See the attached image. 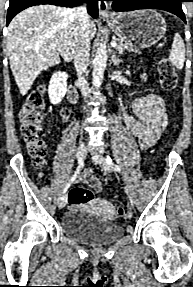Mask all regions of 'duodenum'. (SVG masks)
Instances as JSON below:
<instances>
[{
    "mask_svg": "<svg viewBox=\"0 0 193 287\" xmlns=\"http://www.w3.org/2000/svg\"><path fill=\"white\" fill-rule=\"evenodd\" d=\"M77 99V90L73 84H70L68 88V101L70 104H74Z\"/></svg>",
    "mask_w": 193,
    "mask_h": 287,
    "instance_id": "410a0bca",
    "label": "duodenum"
}]
</instances>
